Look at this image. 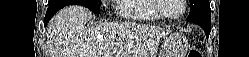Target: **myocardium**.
Instances as JSON below:
<instances>
[{
	"instance_id": "obj_1",
	"label": "myocardium",
	"mask_w": 249,
	"mask_h": 57,
	"mask_svg": "<svg viewBox=\"0 0 249 57\" xmlns=\"http://www.w3.org/2000/svg\"><path fill=\"white\" fill-rule=\"evenodd\" d=\"M180 2L182 5V9L176 15H167L162 11L164 7V0H154L153 7H154V10L157 12V14L161 18L166 19V20H176V19L181 18L186 12V0H180Z\"/></svg>"
}]
</instances>
